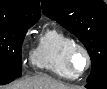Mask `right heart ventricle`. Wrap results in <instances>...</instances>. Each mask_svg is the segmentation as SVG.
Returning <instances> with one entry per match:
<instances>
[{"mask_svg": "<svg viewBox=\"0 0 107 89\" xmlns=\"http://www.w3.org/2000/svg\"><path fill=\"white\" fill-rule=\"evenodd\" d=\"M73 42L74 40L61 29L55 26L47 27L31 54L32 64L58 77L74 79L65 63L66 50Z\"/></svg>", "mask_w": 107, "mask_h": 89, "instance_id": "1", "label": "right heart ventricle"}]
</instances>
